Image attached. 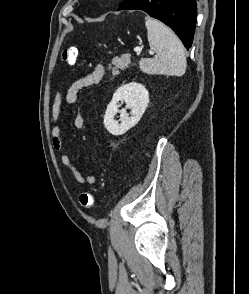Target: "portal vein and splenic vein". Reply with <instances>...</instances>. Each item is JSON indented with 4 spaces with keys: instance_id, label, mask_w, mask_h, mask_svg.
<instances>
[{
    "instance_id": "portal-vein-and-splenic-vein-1",
    "label": "portal vein and splenic vein",
    "mask_w": 249,
    "mask_h": 294,
    "mask_svg": "<svg viewBox=\"0 0 249 294\" xmlns=\"http://www.w3.org/2000/svg\"><path fill=\"white\" fill-rule=\"evenodd\" d=\"M134 51L136 52L137 55H139L140 52H141V49H140V48H136V49H134ZM149 54H150V55H153L154 52H153V51H150Z\"/></svg>"
}]
</instances>
